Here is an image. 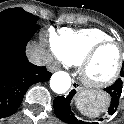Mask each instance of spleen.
I'll use <instances>...</instances> for the list:
<instances>
[{"label":"spleen","instance_id":"obj_1","mask_svg":"<svg viewBox=\"0 0 124 124\" xmlns=\"http://www.w3.org/2000/svg\"><path fill=\"white\" fill-rule=\"evenodd\" d=\"M102 95L105 96L104 94ZM102 100V97L99 100H92L89 96L82 94L77 96L76 106L83 114L94 117L98 116L108 103V98L106 96L105 101Z\"/></svg>","mask_w":124,"mask_h":124}]
</instances>
